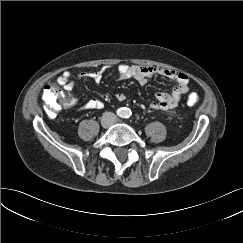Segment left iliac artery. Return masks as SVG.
I'll list each match as a JSON object with an SVG mask.
<instances>
[{"label": "left iliac artery", "instance_id": "1", "mask_svg": "<svg viewBox=\"0 0 243 243\" xmlns=\"http://www.w3.org/2000/svg\"><path fill=\"white\" fill-rule=\"evenodd\" d=\"M130 115H131V111H130V110H127V111H126V116H125V117H126V118H129Z\"/></svg>", "mask_w": 243, "mask_h": 243}]
</instances>
